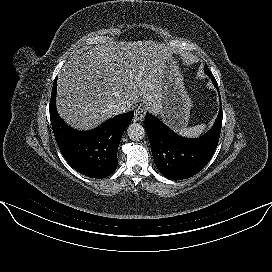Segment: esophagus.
Listing matches in <instances>:
<instances>
[{
  "label": "esophagus",
  "instance_id": "esophagus-1",
  "mask_svg": "<svg viewBox=\"0 0 272 272\" xmlns=\"http://www.w3.org/2000/svg\"><path fill=\"white\" fill-rule=\"evenodd\" d=\"M146 114V108L139 106L134 112V121H142Z\"/></svg>",
  "mask_w": 272,
  "mask_h": 272
}]
</instances>
